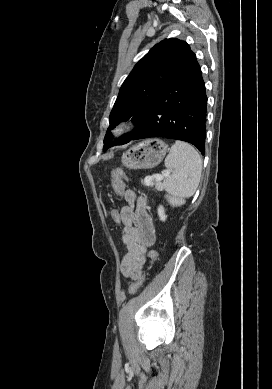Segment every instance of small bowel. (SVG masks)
Segmentation results:
<instances>
[{
    "instance_id": "small-bowel-1",
    "label": "small bowel",
    "mask_w": 272,
    "mask_h": 389,
    "mask_svg": "<svg viewBox=\"0 0 272 389\" xmlns=\"http://www.w3.org/2000/svg\"><path fill=\"white\" fill-rule=\"evenodd\" d=\"M124 199L126 205L121 208L120 215L124 232L122 242L126 254L121 263V271L127 278L138 279L146 259L155 256V253L149 250L155 242V228L144 197H138L134 191L126 190Z\"/></svg>"
}]
</instances>
